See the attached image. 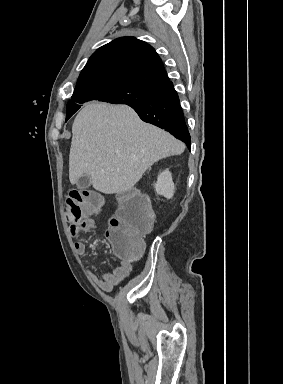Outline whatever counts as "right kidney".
Masks as SVG:
<instances>
[{
  "mask_svg": "<svg viewBox=\"0 0 283 384\" xmlns=\"http://www.w3.org/2000/svg\"><path fill=\"white\" fill-rule=\"evenodd\" d=\"M155 192L159 194V196H164V198H173L175 192V186L172 182V174L169 170H164L161 172L157 178V182L155 184Z\"/></svg>",
  "mask_w": 283,
  "mask_h": 384,
  "instance_id": "right-kidney-1",
  "label": "right kidney"
}]
</instances>
